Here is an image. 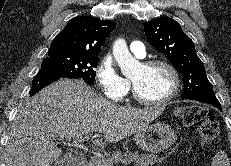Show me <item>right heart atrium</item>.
Here are the masks:
<instances>
[{
	"mask_svg": "<svg viewBox=\"0 0 231 166\" xmlns=\"http://www.w3.org/2000/svg\"><path fill=\"white\" fill-rule=\"evenodd\" d=\"M95 76L102 94L111 101H121L130 91V82L119 73L111 55L101 58Z\"/></svg>",
	"mask_w": 231,
	"mask_h": 166,
	"instance_id": "1",
	"label": "right heart atrium"
}]
</instances>
